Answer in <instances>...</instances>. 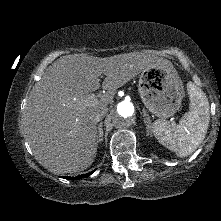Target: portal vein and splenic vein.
<instances>
[{
  "instance_id": "18ae733b",
  "label": "portal vein and splenic vein",
  "mask_w": 221,
  "mask_h": 221,
  "mask_svg": "<svg viewBox=\"0 0 221 221\" xmlns=\"http://www.w3.org/2000/svg\"><path fill=\"white\" fill-rule=\"evenodd\" d=\"M96 101V96L95 94H90L88 98L84 99V103L86 105H92Z\"/></svg>"
}]
</instances>
